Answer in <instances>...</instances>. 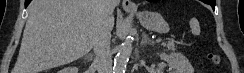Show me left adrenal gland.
I'll return each instance as SVG.
<instances>
[{"mask_svg": "<svg viewBox=\"0 0 244 73\" xmlns=\"http://www.w3.org/2000/svg\"><path fill=\"white\" fill-rule=\"evenodd\" d=\"M141 46H144V45H154V41L149 39L147 34L145 32L142 33V40H141Z\"/></svg>", "mask_w": 244, "mask_h": 73, "instance_id": "left-adrenal-gland-1", "label": "left adrenal gland"}]
</instances>
